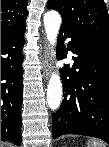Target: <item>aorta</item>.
<instances>
[{"mask_svg": "<svg viewBox=\"0 0 109 147\" xmlns=\"http://www.w3.org/2000/svg\"><path fill=\"white\" fill-rule=\"evenodd\" d=\"M61 16L55 10H50L44 15V26L47 39L52 47L56 46L57 36L61 26ZM62 99V83L57 73L50 77L47 87V102L52 110L59 108Z\"/></svg>", "mask_w": 109, "mask_h": 147, "instance_id": "obj_1", "label": "aorta"}]
</instances>
